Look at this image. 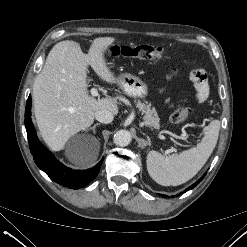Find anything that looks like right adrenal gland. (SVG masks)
<instances>
[{
    "instance_id": "obj_1",
    "label": "right adrenal gland",
    "mask_w": 247,
    "mask_h": 247,
    "mask_svg": "<svg viewBox=\"0 0 247 247\" xmlns=\"http://www.w3.org/2000/svg\"><path fill=\"white\" fill-rule=\"evenodd\" d=\"M98 125H100V123L94 124L92 127H90V128L88 129V131H89V130H92V131H93V134H95V132H96L95 128H96V126H98Z\"/></svg>"
}]
</instances>
